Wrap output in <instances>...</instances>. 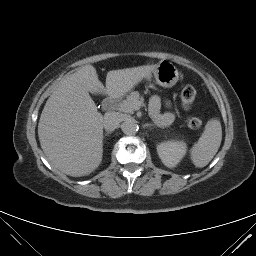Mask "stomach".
Here are the masks:
<instances>
[{"label":"stomach","instance_id":"1","mask_svg":"<svg viewBox=\"0 0 256 256\" xmlns=\"http://www.w3.org/2000/svg\"><path fill=\"white\" fill-rule=\"evenodd\" d=\"M147 66L149 70L144 78L146 80L154 78L156 83L164 88H171L179 79V72L171 62L162 60L157 64Z\"/></svg>","mask_w":256,"mask_h":256}]
</instances>
